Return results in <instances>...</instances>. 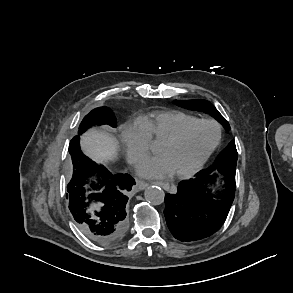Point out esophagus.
Listing matches in <instances>:
<instances>
[{
    "instance_id": "1",
    "label": "esophagus",
    "mask_w": 293,
    "mask_h": 293,
    "mask_svg": "<svg viewBox=\"0 0 293 293\" xmlns=\"http://www.w3.org/2000/svg\"><path fill=\"white\" fill-rule=\"evenodd\" d=\"M155 184L162 186L164 189H168L169 188V184L164 183V182H154ZM148 186V183L141 181V180H137V188L139 190H143Z\"/></svg>"
}]
</instances>
